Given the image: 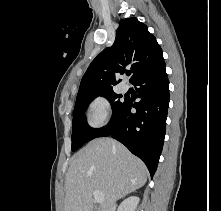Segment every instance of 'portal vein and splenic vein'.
<instances>
[{"label":"portal vein and splenic vein","mask_w":221,"mask_h":211,"mask_svg":"<svg viewBox=\"0 0 221 211\" xmlns=\"http://www.w3.org/2000/svg\"><path fill=\"white\" fill-rule=\"evenodd\" d=\"M93 196H94V199L97 203H102L104 201V195L101 191L99 190H94L93 191Z\"/></svg>","instance_id":"1"}]
</instances>
